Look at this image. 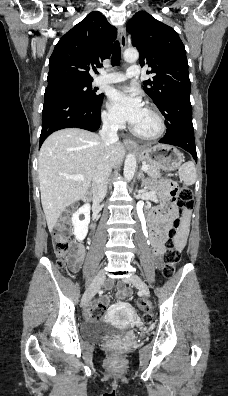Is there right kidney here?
Wrapping results in <instances>:
<instances>
[{
	"mask_svg": "<svg viewBox=\"0 0 228 396\" xmlns=\"http://www.w3.org/2000/svg\"><path fill=\"white\" fill-rule=\"evenodd\" d=\"M90 208L89 204H85L72 215L71 221L74 228V235L78 241L84 240L87 236L88 225L90 223ZM81 215L84 216L82 220L80 219Z\"/></svg>",
	"mask_w": 228,
	"mask_h": 396,
	"instance_id": "obj_1",
	"label": "right kidney"
}]
</instances>
